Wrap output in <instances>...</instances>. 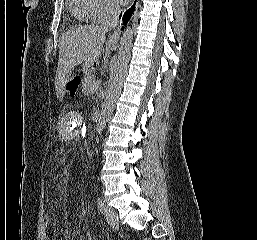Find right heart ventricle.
<instances>
[{"label": "right heart ventricle", "mask_w": 257, "mask_h": 240, "mask_svg": "<svg viewBox=\"0 0 257 240\" xmlns=\"http://www.w3.org/2000/svg\"><path fill=\"white\" fill-rule=\"evenodd\" d=\"M94 0H67V8L72 16L79 22L92 20Z\"/></svg>", "instance_id": "e07e8e85"}]
</instances>
